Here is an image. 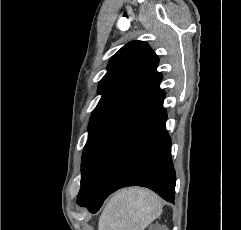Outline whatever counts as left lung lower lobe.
<instances>
[{
    "label": "left lung lower lobe",
    "mask_w": 241,
    "mask_h": 230,
    "mask_svg": "<svg viewBox=\"0 0 241 230\" xmlns=\"http://www.w3.org/2000/svg\"><path fill=\"white\" fill-rule=\"evenodd\" d=\"M165 92L110 138L91 160L78 204L96 213L115 190L131 185L152 189L162 198H175L171 139L166 131Z\"/></svg>",
    "instance_id": "1"
}]
</instances>
